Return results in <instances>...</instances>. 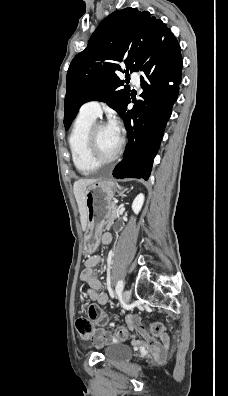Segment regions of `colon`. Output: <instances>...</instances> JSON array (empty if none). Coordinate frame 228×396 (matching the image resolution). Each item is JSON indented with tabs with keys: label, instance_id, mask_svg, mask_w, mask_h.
<instances>
[{
	"label": "colon",
	"instance_id": "5ec220e1",
	"mask_svg": "<svg viewBox=\"0 0 228 396\" xmlns=\"http://www.w3.org/2000/svg\"><path fill=\"white\" fill-rule=\"evenodd\" d=\"M89 318H78L76 320V328L80 336L84 339H91L95 334V324L106 325L108 318L103 309L98 305H91L88 310ZM163 325L161 322H153L148 329H144V333L149 336H159L162 334ZM116 336L120 340L128 338V331L119 327L116 331Z\"/></svg>",
	"mask_w": 228,
	"mask_h": 396
}]
</instances>
